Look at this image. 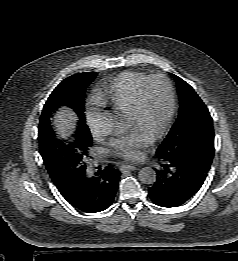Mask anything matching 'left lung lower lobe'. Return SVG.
Instances as JSON below:
<instances>
[{"mask_svg": "<svg viewBox=\"0 0 238 261\" xmlns=\"http://www.w3.org/2000/svg\"><path fill=\"white\" fill-rule=\"evenodd\" d=\"M161 162L148 196L153 203L167 208L180 206L192 198L201 188L210 169V166L194 161L161 159Z\"/></svg>", "mask_w": 238, "mask_h": 261, "instance_id": "1", "label": "left lung lower lobe"}]
</instances>
